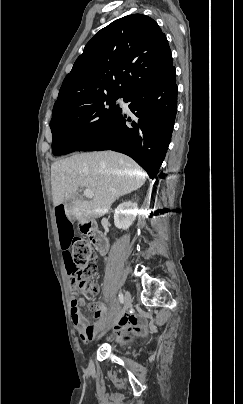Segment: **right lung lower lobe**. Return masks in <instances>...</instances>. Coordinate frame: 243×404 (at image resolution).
<instances>
[{
  "instance_id": "right-lung-lower-lobe-1",
  "label": "right lung lower lobe",
  "mask_w": 243,
  "mask_h": 404,
  "mask_svg": "<svg viewBox=\"0 0 243 404\" xmlns=\"http://www.w3.org/2000/svg\"><path fill=\"white\" fill-rule=\"evenodd\" d=\"M175 67L124 97L133 118L117 115L76 151L114 150L132 157L154 179L166 155L177 111ZM130 122V123H128ZM128 123V124H126ZM160 176V175H159Z\"/></svg>"
}]
</instances>
